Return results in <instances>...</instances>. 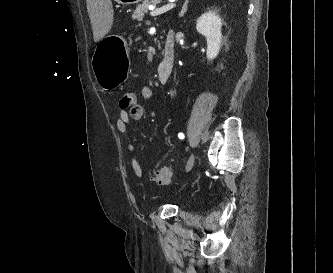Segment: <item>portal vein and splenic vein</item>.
<instances>
[{
	"label": "portal vein and splenic vein",
	"instance_id": "18ae733b",
	"mask_svg": "<svg viewBox=\"0 0 333 273\" xmlns=\"http://www.w3.org/2000/svg\"><path fill=\"white\" fill-rule=\"evenodd\" d=\"M174 7H175V4H167V5L162 6L160 8H151L150 15L151 16H158V15H161V14L171 10Z\"/></svg>",
	"mask_w": 333,
	"mask_h": 273
}]
</instances>
